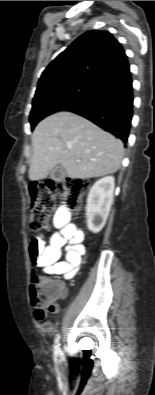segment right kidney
Wrapping results in <instances>:
<instances>
[{
	"instance_id": "ca27d5eb",
	"label": "right kidney",
	"mask_w": 155,
	"mask_h": 395,
	"mask_svg": "<svg viewBox=\"0 0 155 395\" xmlns=\"http://www.w3.org/2000/svg\"><path fill=\"white\" fill-rule=\"evenodd\" d=\"M113 176L101 178L91 187L86 205L87 227L98 233L104 227L113 203L115 186Z\"/></svg>"
}]
</instances>
